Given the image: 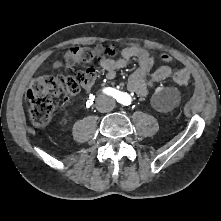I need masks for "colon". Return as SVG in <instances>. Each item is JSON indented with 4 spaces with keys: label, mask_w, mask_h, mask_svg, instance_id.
<instances>
[{
    "label": "colon",
    "mask_w": 221,
    "mask_h": 221,
    "mask_svg": "<svg viewBox=\"0 0 221 221\" xmlns=\"http://www.w3.org/2000/svg\"><path fill=\"white\" fill-rule=\"evenodd\" d=\"M116 49L111 44L96 46H73L64 53V60L74 67L71 75H46L35 79L28 91L30 119L34 126L42 127L52 118L55 98L69 99L80 91L92 88L96 80L93 69L79 68L77 65L94 59H105L115 55ZM175 84L186 86L190 83V73L186 69L176 71L172 77Z\"/></svg>",
    "instance_id": "1"
}]
</instances>
